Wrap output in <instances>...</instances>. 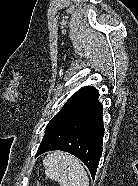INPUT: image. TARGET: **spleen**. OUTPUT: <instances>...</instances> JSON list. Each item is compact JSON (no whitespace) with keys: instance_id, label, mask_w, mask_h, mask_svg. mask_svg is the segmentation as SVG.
I'll list each match as a JSON object with an SVG mask.
<instances>
[{"instance_id":"1","label":"spleen","mask_w":138,"mask_h":186,"mask_svg":"<svg viewBox=\"0 0 138 186\" xmlns=\"http://www.w3.org/2000/svg\"><path fill=\"white\" fill-rule=\"evenodd\" d=\"M45 174L60 186H89V178L81 162L70 154L57 151L43 160Z\"/></svg>"}]
</instances>
